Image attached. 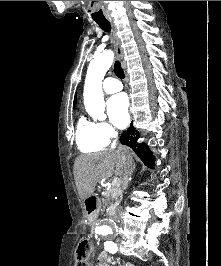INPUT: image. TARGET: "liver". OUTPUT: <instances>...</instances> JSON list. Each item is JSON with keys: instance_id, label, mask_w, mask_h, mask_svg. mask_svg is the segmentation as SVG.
I'll list each match as a JSON object with an SVG mask.
<instances>
[{"instance_id": "6515ba94", "label": "liver", "mask_w": 221, "mask_h": 266, "mask_svg": "<svg viewBox=\"0 0 221 266\" xmlns=\"http://www.w3.org/2000/svg\"><path fill=\"white\" fill-rule=\"evenodd\" d=\"M121 152L132 158L129 148L123 146L117 149L80 155L76 158L74 179L78 194L82 200H86L88 194H93L99 181L112 175L119 176L122 179L124 164L121 160Z\"/></svg>"}]
</instances>
